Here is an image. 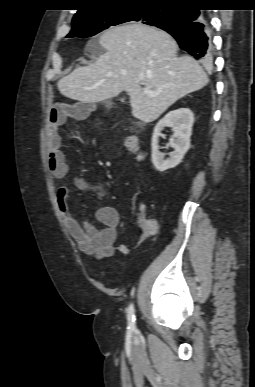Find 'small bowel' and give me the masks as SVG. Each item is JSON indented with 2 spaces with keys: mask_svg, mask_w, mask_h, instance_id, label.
I'll list each match as a JSON object with an SVG mask.
<instances>
[{
  "mask_svg": "<svg viewBox=\"0 0 255 387\" xmlns=\"http://www.w3.org/2000/svg\"><path fill=\"white\" fill-rule=\"evenodd\" d=\"M64 120V110L59 108L52 110L49 123L48 166L51 172L60 179L64 178L68 173L64 154L60 149L62 138L58 130ZM72 185L82 191L94 192L100 199L105 196V191L101 185L93 184L84 178H75ZM70 193L71 185H61L57 190V205L65 226L77 243L79 250L99 258L109 257L116 253L128 254L130 252L128 245L116 243L117 227L120 223V215L117 209L108 205H100L96 209L95 216L105 228L97 229L87 221L78 220L72 214L69 205ZM145 240L146 237L140 236L138 244L143 243Z\"/></svg>",
  "mask_w": 255,
  "mask_h": 387,
  "instance_id": "c3829d8e",
  "label": "small bowel"
}]
</instances>
